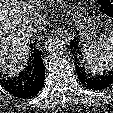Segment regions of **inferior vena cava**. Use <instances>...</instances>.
<instances>
[{"label":"inferior vena cava","mask_w":113,"mask_h":113,"mask_svg":"<svg viewBox=\"0 0 113 113\" xmlns=\"http://www.w3.org/2000/svg\"><path fill=\"white\" fill-rule=\"evenodd\" d=\"M46 27V20L43 16H34L32 17L29 27H28V32L30 35H36L42 32L43 29Z\"/></svg>","instance_id":"1"}]
</instances>
